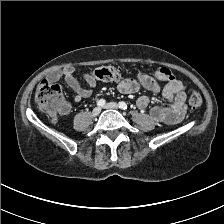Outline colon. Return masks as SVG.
Here are the masks:
<instances>
[{"mask_svg":"<svg viewBox=\"0 0 224 224\" xmlns=\"http://www.w3.org/2000/svg\"><path fill=\"white\" fill-rule=\"evenodd\" d=\"M154 73L162 80H174L173 73L166 67H159ZM121 74V69L112 66L100 67L93 71V77L95 79L105 82L117 81L120 79ZM35 102L41 111L47 113L54 119L58 117L60 112L68 109L62 88L57 84L46 81L38 85ZM188 102L193 110H198L202 105L201 95L196 90H190L188 93Z\"/></svg>","mask_w":224,"mask_h":224,"instance_id":"1","label":"colon"}]
</instances>
